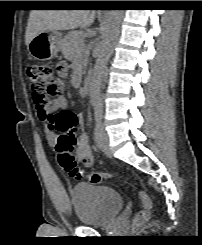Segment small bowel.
Returning <instances> with one entry per match:
<instances>
[{
    "label": "small bowel",
    "mask_w": 202,
    "mask_h": 245,
    "mask_svg": "<svg viewBox=\"0 0 202 245\" xmlns=\"http://www.w3.org/2000/svg\"><path fill=\"white\" fill-rule=\"evenodd\" d=\"M66 107V100L63 96L58 97L49 105V111H60L64 110ZM43 127L45 132L47 133V139L50 142L54 141V135L50 132V128L48 124L44 121ZM76 155L79 160H81L86 166H91L93 163V156L90 146V140L87 135H83L80 139L77 149Z\"/></svg>",
    "instance_id": "small-bowel-1"
}]
</instances>
